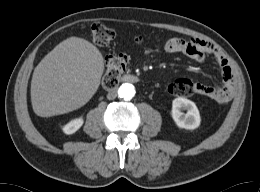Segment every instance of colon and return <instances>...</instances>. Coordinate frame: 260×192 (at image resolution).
<instances>
[{
    "instance_id": "1",
    "label": "colon",
    "mask_w": 260,
    "mask_h": 192,
    "mask_svg": "<svg viewBox=\"0 0 260 192\" xmlns=\"http://www.w3.org/2000/svg\"><path fill=\"white\" fill-rule=\"evenodd\" d=\"M114 31L103 23H94L91 27L93 42L99 47H105L114 39ZM141 42V38H136ZM128 62L124 54L112 56L107 61V71L102 81L104 89H112L118 84L119 76ZM169 91L175 96H190L195 93V83L186 78L175 80L169 86Z\"/></svg>"
}]
</instances>
